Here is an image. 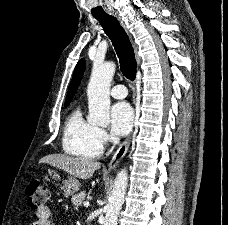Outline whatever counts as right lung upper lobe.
I'll list each match as a JSON object with an SVG mask.
<instances>
[{
    "mask_svg": "<svg viewBox=\"0 0 228 225\" xmlns=\"http://www.w3.org/2000/svg\"><path fill=\"white\" fill-rule=\"evenodd\" d=\"M84 71H85V60L81 59L75 67V72H74L73 78H72L70 86H69L65 105H69V103L71 102V100L80 84Z\"/></svg>",
    "mask_w": 228,
    "mask_h": 225,
    "instance_id": "cb5924a9",
    "label": "right lung upper lobe"
}]
</instances>
